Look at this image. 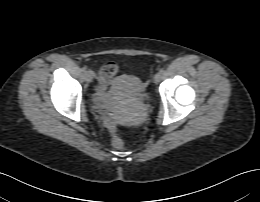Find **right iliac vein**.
Masks as SVG:
<instances>
[{
  "instance_id": "1",
  "label": "right iliac vein",
  "mask_w": 260,
  "mask_h": 202,
  "mask_svg": "<svg viewBox=\"0 0 260 202\" xmlns=\"http://www.w3.org/2000/svg\"><path fill=\"white\" fill-rule=\"evenodd\" d=\"M84 79L86 82L90 83L92 81V74L89 71L84 73Z\"/></svg>"
}]
</instances>
